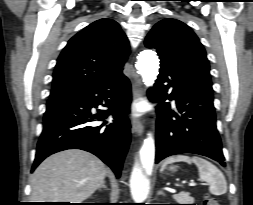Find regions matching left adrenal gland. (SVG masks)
I'll use <instances>...</instances> for the list:
<instances>
[{"mask_svg":"<svg viewBox=\"0 0 253 205\" xmlns=\"http://www.w3.org/2000/svg\"><path fill=\"white\" fill-rule=\"evenodd\" d=\"M157 195H164V192H163L162 190H159V191L157 192Z\"/></svg>","mask_w":253,"mask_h":205,"instance_id":"1","label":"left adrenal gland"}]
</instances>
